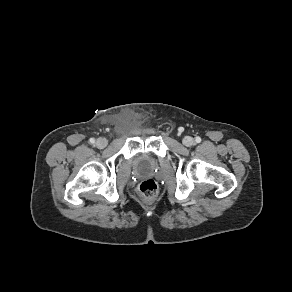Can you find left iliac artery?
Returning <instances> with one entry per match:
<instances>
[{
	"label": "left iliac artery",
	"instance_id": "44dca946",
	"mask_svg": "<svg viewBox=\"0 0 292 292\" xmlns=\"http://www.w3.org/2000/svg\"><path fill=\"white\" fill-rule=\"evenodd\" d=\"M195 142L196 143H200L201 142V138L199 136L195 137Z\"/></svg>",
	"mask_w": 292,
	"mask_h": 292
}]
</instances>
